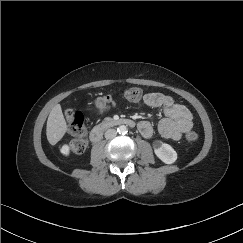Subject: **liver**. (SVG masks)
<instances>
[{
    "label": "liver",
    "instance_id": "1",
    "mask_svg": "<svg viewBox=\"0 0 243 243\" xmlns=\"http://www.w3.org/2000/svg\"><path fill=\"white\" fill-rule=\"evenodd\" d=\"M67 131V124L64 119L61 105L56 104L47 120L46 126V136L47 140L51 145H55L58 141H60Z\"/></svg>",
    "mask_w": 243,
    "mask_h": 243
}]
</instances>
